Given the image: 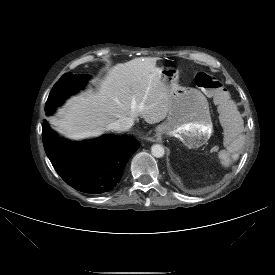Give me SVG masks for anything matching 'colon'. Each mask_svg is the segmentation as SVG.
Wrapping results in <instances>:
<instances>
[{
  "mask_svg": "<svg viewBox=\"0 0 275 275\" xmlns=\"http://www.w3.org/2000/svg\"><path fill=\"white\" fill-rule=\"evenodd\" d=\"M194 80L197 86L203 89L207 94L211 95L217 104H224L228 100L225 87L214 76L198 70L194 74Z\"/></svg>",
  "mask_w": 275,
  "mask_h": 275,
  "instance_id": "1",
  "label": "colon"
}]
</instances>
